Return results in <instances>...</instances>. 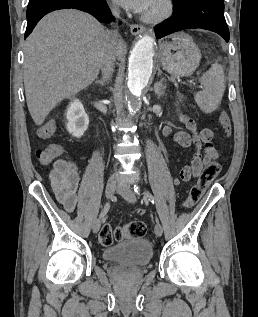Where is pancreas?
Listing matches in <instances>:
<instances>
[{"mask_svg": "<svg viewBox=\"0 0 258 317\" xmlns=\"http://www.w3.org/2000/svg\"><path fill=\"white\" fill-rule=\"evenodd\" d=\"M169 80H173V78H171V76H168Z\"/></svg>", "mask_w": 258, "mask_h": 317, "instance_id": "cf45deb5", "label": "pancreas"}]
</instances>
